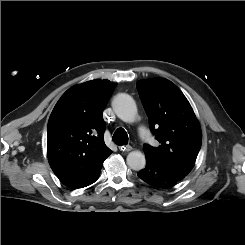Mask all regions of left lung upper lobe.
I'll use <instances>...</instances> for the list:
<instances>
[{"label":"left lung upper lobe","mask_w":245,"mask_h":245,"mask_svg":"<svg viewBox=\"0 0 245 245\" xmlns=\"http://www.w3.org/2000/svg\"><path fill=\"white\" fill-rule=\"evenodd\" d=\"M137 88L150 129L161 144L159 147L144 145L146 160L187 176L202 144L201 127L189 101L167 79L142 80Z\"/></svg>","instance_id":"1"}]
</instances>
